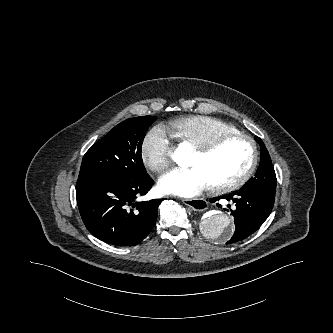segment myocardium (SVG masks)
<instances>
[{
  "label": "myocardium",
  "instance_id": "myocardium-1",
  "mask_svg": "<svg viewBox=\"0 0 333 333\" xmlns=\"http://www.w3.org/2000/svg\"><path fill=\"white\" fill-rule=\"evenodd\" d=\"M230 140H243L249 143L252 148V158L248 168L237 178L227 182L216 183L211 185V189L216 192H229L240 188L251 178L258 165L259 150L256 141L251 136L240 132L220 134L218 136L209 139L208 141H205L203 143L194 146V148L198 153L202 155H209L212 152H214L223 143Z\"/></svg>",
  "mask_w": 333,
  "mask_h": 333
}]
</instances>
